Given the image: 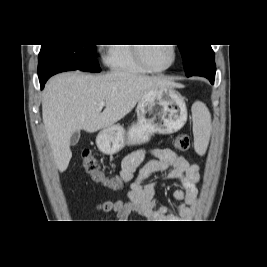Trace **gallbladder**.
Here are the masks:
<instances>
[{"label": "gallbladder", "instance_id": "1", "mask_svg": "<svg viewBox=\"0 0 267 267\" xmlns=\"http://www.w3.org/2000/svg\"><path fill=\"white\" fill-rule=\"evenodd\" d=\"M80 139V132L79 131H75L70 138V145L74 146L78 143Z\"/></svg>", "mask_w": 267, "mask_h": 267}]
</instances>
